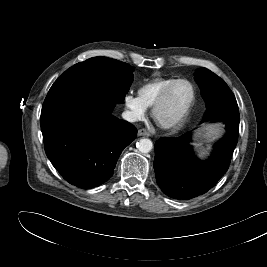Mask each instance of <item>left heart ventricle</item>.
Wrapping results in <instances>:
<instances>
[{
    "label": "left heart ventricle",
    "mask_w": 267,
    "mask_h": 267,
    "mask_svg": "<svg viewBox=\"0 0 267 267\" xmlns=\"http://www.w3.org/2000/svg\"><path fill=\"white\" fill-rule=\"evenodd\" d=\"M192 97L191 87L187 83H180L174 87L165 103L158 111V119L161 122H170L178 118Z\"/></svg>",
    "instance_id": "obj_1"
}]
</instances>
